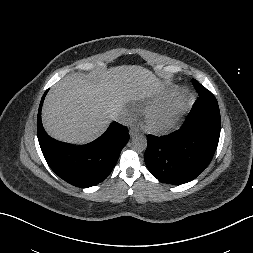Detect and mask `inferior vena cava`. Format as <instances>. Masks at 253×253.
I'll use <instances>...</instances> for the list:
<instances>
[{
	"instance_id": "inferior-vena-cava-1",
	"label": "inferior vena cava",
	"mask_w": 253,
	"mask_h": 253,
	"mask_svg": "<svg viewBox=\"0 0 253 253\" xmlns=\"http://www.w3.org/2000/svg\"><path fill=\"white\" fill-rule=\"evenodd\" d=\"M113 119L121 124H128L130 119L122 111L113 114Z\"/></svg>"
}]
</instances>
